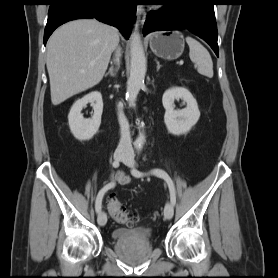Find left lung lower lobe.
<instances>
[{"label": "left lung lower lobe", "mask_w": 278, "mask_h": 278, "mask_svg": "<svg viewBox=\"0 0 278 278\" xmlns=\"http://www.w3.org/2000/svg\"><path fill=\"white\" fill-rule=\"evenodd\" d=\"M215 2L216 0H160L158 4L164 5V8L148 13L143 34L188 29L205 40L219 56Z\"/></svg>", "instance_id": "1"}]
</instances>
